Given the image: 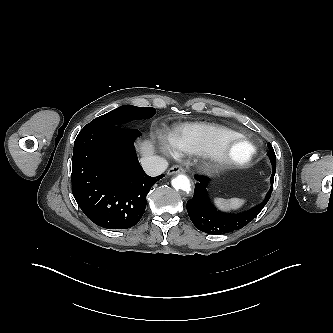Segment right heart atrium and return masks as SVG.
Returning a JSON list of instances; mask_svg holds the SVG:
<instances>
[{"instance_id": "d8ad5b80", "label": "right heart atrium", "mask_w": 333, "mask_h": 333, "mask_svg": "<svg viewBox=\"0 0 333 333\" xmlns=\"http://www.w3.org/2000/svg\"><path fill=\"white\" fill-rule=\"evenodd\" d=\"M161 149L167 156H172L175 153V148L170 142V139H162L161 140Z\"/></svg>"}]
</instances>
